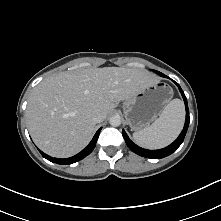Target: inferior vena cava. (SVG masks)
<instances>
[{
  "instance_id": "obj_1",
  "label": "inferior vena cava",
  "mask_w": 221,
  "mask_h": 221,
  "mask_svg": "<svg viewBox=\"0 0 221 221\" xmlns=\"http://www.w3.org/2000/svg\"><path fill=\"white\" fill-rule=\"evenodd\" d=\"M103 120H104V116L102 114H100V113L95 114L94 117H93V121L95 123H100Z\"/></svg>"
}]
</instances>
